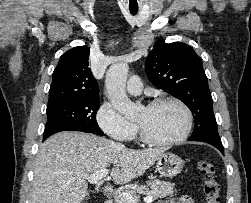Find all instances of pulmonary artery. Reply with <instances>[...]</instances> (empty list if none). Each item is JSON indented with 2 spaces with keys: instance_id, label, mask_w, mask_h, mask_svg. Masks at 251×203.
Returning <instances> with one entry per match:
<instances>
[{
  "instance_id": "1",
  "label": "pulmonary artery",
  "mask_w": 251,
  "mask_h": 203,
  "mask_svg": "<svg viewBox=\"0 0 251 203\" xmlns=\"http://www.w3.org/2000/svg\"><path fill=\"white\" fill-rule=\"evenodd\" d=\"M142 81L138 76H132L127 82L126 89L130 94L138 95L142 91Z\"/></svg>"
}]
</instances>
